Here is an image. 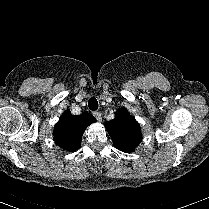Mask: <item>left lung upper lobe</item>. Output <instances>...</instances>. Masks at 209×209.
I'll list each match as a JSON object with an SVG mask.
<instances>
[{
    "label": "left lung upper lobe",
    "mask_w": 209,
    "mask_h": 209,
    "mask_svg": "<svg viewBox=\"0 0 209 209\" xmlns=\"http://www.w3.org/2000/svg\"><path fill=\"white\" fill-rule=\"evenodd\" d=\"M105 127L120 151L132 152L142 140L140 125L126 108L119 109L115 118L105 123Z\"/></svg>",
    "instance_id": "5c2ea615"
}]
</instances>
